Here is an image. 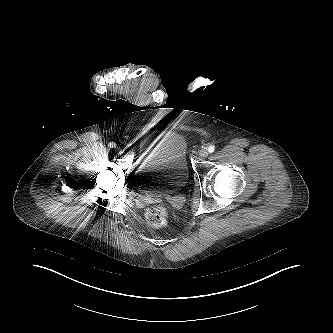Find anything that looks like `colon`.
Returning a JSON list of instances; mask_svg holds the SVG:
<instances>
[{
	"mask_svg": "<svg viewBox=\"0 0 333 333\" xmlns=\"http://www.w3.org/2000/svg\"><path fill=\"white\" fill-rule=\"evenodd\" d=\"M147 224L153 228H162L169 221V212L163 206H155L149 208L145 213Z\"/></svg>",
	"mask_w": 333,
	"mask_h": 333,
	"instance_id": "obj_1",
	"label": "colon"
}]
</instances>
